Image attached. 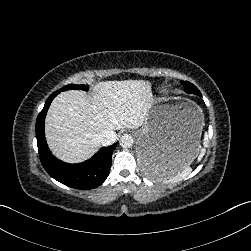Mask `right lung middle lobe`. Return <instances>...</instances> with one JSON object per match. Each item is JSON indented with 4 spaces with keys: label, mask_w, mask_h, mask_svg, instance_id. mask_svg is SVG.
<instances>
[{
    "label": "right lung middle lobe",
    "mask_w": 251,
    "mask_h": 251,
    "mask_svg": "<svg viewBox=\"0 0 251 251\" xmlns=\"http://www.w3.org/2000/svg\"><path fill=\"white\" fill-rule=\"evenodd\" d=\"M70 89H81V90L87 91L88 87L86 85L69 84V85L64 86L60 90H58V93H60L61 91H66V90H70Z\"/></svg>",
    "instance_id": "dd1d6c3e"
}]
</instances>
